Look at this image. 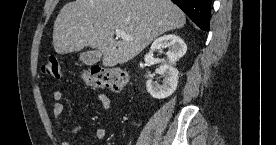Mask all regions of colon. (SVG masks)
<instances>
[{
  "label": "colon",
  "mask_w": 276,
  "mask_h": 145,
  "mask_svg": "<svg viewBox=\"0 0 276 145\" xmlns=\"http://www.w3.org/2000/svg\"><path fill=\"white\" fill-rule=\"evenodd\" d=\"M42 73L48 78L59 80L62 77L61 67L58 59L51 56L42 65ZM83 81L92 87L109 88L121 91L128 83L125 71L113 67L93 65L81 73Z\"/></svg>",
  "instance_id": "colon-1"
}]
</instances>
